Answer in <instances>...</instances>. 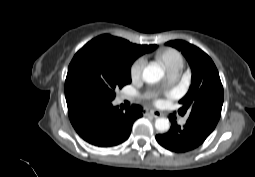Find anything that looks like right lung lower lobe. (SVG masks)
<instances>
[{
	"label": "right lung lower lobe",
	"mask_w": 255,
	"mask_h": 177,
	"mask_svg": "<svg viewBox=\"0 0 255 177\" xmlns=\"http://www.w3.org/2000/svg\"><path fill=\"white\" fill-rule=\"evenodd\" d=\"M70 121L86 142L98 147H114L128 139L142 107L132 105L125 112L107 101L90 95L66 100Z\"/></svg>",
	"instance_id": "obj_1"
}]
</instances>
